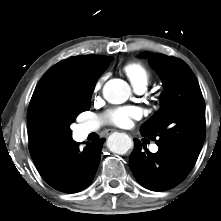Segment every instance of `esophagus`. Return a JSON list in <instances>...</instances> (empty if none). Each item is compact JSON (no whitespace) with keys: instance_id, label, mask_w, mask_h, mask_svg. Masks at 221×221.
<instances>
[{"instance_id":"1","label":"esophagus","mask_w":221,"mask_h":221,"mask_svg":"<svg viewBox=\"0 0 221 221\" xmlns=\"http://www.w3.org/2000/svg\"><path fill=\"white\" fill-rule=\"evenodd\" d=\"M113 132V130H107L105 133L107 134V135H109V134H111Z\"/></svg>"}]
</instances>
